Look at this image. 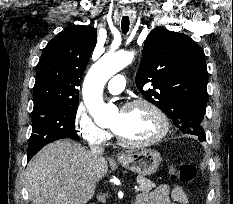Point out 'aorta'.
I'll return each mask as SVG.
<instances>
[{
	"label": "aorta",
	"instance_id": "obj_1",
	"mask_svg": "<svg viewBox=\"0 0 233 204\" xmlns=\"http://www.w3.org/2000/svg\"><path fill=\"white\" fill-rule=\"evenodd\" d=\"M134 58L132 52L105 54L88 71L83 83V100L96 124L103 126L110 122L117 112L115 105L103 100L106 82L117 72L128 66Z\"/></svg>",
	"mask_w": 233,
	"mask_h": 204
}]
</instances>
